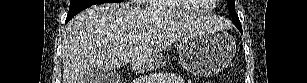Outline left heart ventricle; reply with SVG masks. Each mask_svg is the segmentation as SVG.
Returning <instances> with one entry per match:
<instances>
[{
    "label": "left heart ventricle",
    "mask_w": 307,
    "mask_h": 83,
    "mask_svg": "<svg viewBox=\"0 0 307 83\" xmlns=\"http://www.w3.org/2000/svg\"><path fill=\"white\" fill-rule=\"evenodd\" d=\"M188 2L196 5L197 8L208 7V5H206V4L200 5V3H204V2H200V0H189Z\"/></svg>",
    "instance_id": "b2bd125f"
}]
</instances>
